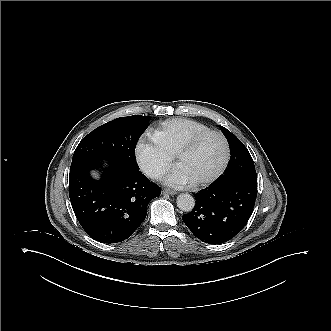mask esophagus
Instances as JSON below:
<instances>
[{
  "label": "esophagus",
  "instance_id": "34e87169",
  "mask_svg": "<svg viewBox=\"0 0 331 331\" xmlns=\"http://www.w3.org/2000/svg\"><path fill=\"white\" fill-rule=\"evenodd\" d=\"M162 194L175 195V194H177V192L174 191V190H170V189H163V190H162Z\"/></svg>",
  "mask_w": 331,
  "mask_h": 331
}]
</instances>
